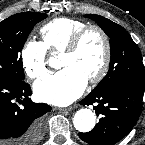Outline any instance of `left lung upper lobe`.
Returning a JSON list of instances; mask_svg holds the SVG:
<instances>
[{"label":"left lung upper lobe","mask_w":145,"mask_h":145,"mask_svg":"<svg viewBox=\"0 0 145 145\" xmlns=\"http://www.w3.org/2000/svg\"><path fill=\"white\" fill-rule=\"evenodd\" d=\"M109 36L111 48L110 67L107 75L91 92L98 94L119 85L145 87L142 56L137 44L120 25L99 15L87 14Z\"/></svg>","instance_id":"1"}]
</instances>
